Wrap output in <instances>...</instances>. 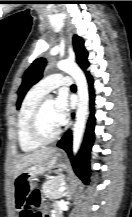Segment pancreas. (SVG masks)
Segmentation results:
<instances>
[{
    "instance_id": "obj_1",
    "label": "pancreas",
    "mask_w": 132,
    "mask_h": 217,
    "mask_svg": "<svg viewBox=\"0 0 132 217\" xmlns=\"http://www.w3.org/2000/svg\"><path fill=\"white\" fill-rule=\"evenodd\" d=\"M64 175L57 176L55 178L48 179L42 185V191L44 195L49 199L61 198L65 193L58 192V189L64 183Z\"/></svg>"
}]
</instances>
